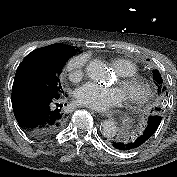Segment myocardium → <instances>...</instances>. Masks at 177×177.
I'll use <instances>...</instances> for the list:
<instances>
[{
	"label": "myocardium",
	"instance_id": "myocardium-1",
	"mask_svg": "<svg viewBox=\"0 0 177 177\" xmlns=\"http://www.w3.org/2000/svg\"><path fill=\"white\" fill-rule=\"evenodd\" d=\"M120 85L126 89V101L132 106L141 105L150 97V84L139 75L122 77L120 79Z\"/></svg>",
	"mask_w": 177,
	"mask_h": 177
}]
</instances>
